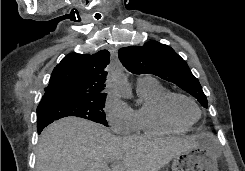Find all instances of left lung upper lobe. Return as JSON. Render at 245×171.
Wrapping results in <instances>:
<instances>
[{
  "label": "left lung upper lobe",
  "instance_id": "5c2ea615",
  "mask_svg": "<svg viewBox=\"0 0 245 171\" xmlns=\"http://www.w3.org/2000/svg\"><path fill=\"white\" fill-rule=\"evenodd\" d=\"M118 56L122 64L134 74H153L170 81L208 108L207 98L187 63L169 46L149 41L143 46L121 48Z\"/></svg>",
  "mask_w": 245,
  "mask_h": 171
}]
</instances>
